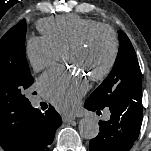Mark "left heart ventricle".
Masks as SVG:
<instances>
[{"instance_id":"left-heart-ventricle-1","label":"left heart ventricle","mask_w":151,"mask_h":151,"mask_svg":"<svg viewBox=\"0 0 151 151\" xmlns=\"http://www.w3.org/2000/svg\"><path fill=\"white\" fill-rule=\"evenodd\" d=\"M111 44L109 37L100 33L83 51L69 56L70 62L88 75L101 70L109 60Z\"/></svg>"}]
</instances>
